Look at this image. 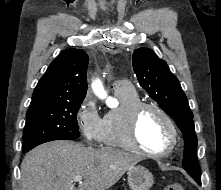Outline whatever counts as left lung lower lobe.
Wrapping results in <instances>:
<instances>
[{"instance_id":"1","label":"left lung lower lobe","mask_w":221,"mask_h":190,"mask_svg":"<svg viewBox=\"0 0 221 190\" xmlns=\"http://www.w3.org/2000/svg\"><path fill=\"white\" fill-rule=\"evenodd\" d=\"M194 179L199 185H201V178H194Z\"/></svg>"}]
</instances>
